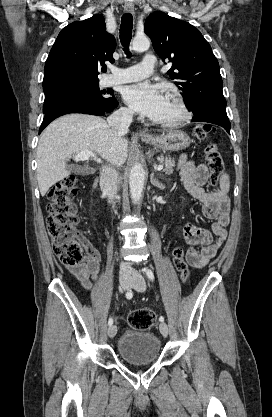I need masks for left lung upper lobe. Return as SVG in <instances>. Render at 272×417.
Returning a JSON list of instances; mask_svg holds the SVG:
<instances>
[{
  "label": "left lung upper lobe",
  "mask_w": 272,
  "mask_h": 417,
  "mask_svg": "<svg viewBox=\"0 0 272 417\" xmlns=\"http://www.w3.org/2000/svg\"><path fill=\"white\" fill-rule=\"evenodd\" d=\"M145 33L159 57L172 62L167 72L184 93L194 116H211L229 122L222 92L219 64L211 46L188 22L156 11L145 22Z\"/></svg>",
  "instance_id": "obj_1"
}]
</instances>
